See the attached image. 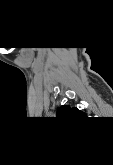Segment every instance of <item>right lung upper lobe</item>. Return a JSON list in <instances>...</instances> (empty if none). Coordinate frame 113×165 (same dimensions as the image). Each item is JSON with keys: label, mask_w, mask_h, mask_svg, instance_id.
Returning a JSON list of instances; mask_svg holds the SVG:
<instances>
[{"label": "right lung upper lobe", "mask_w": 113, "mask_h": 165, "mask_svg": "<svg viewBox=\"0 0 113 165\" xmlns=\"http://www.w3.org/2000/svg\"><path fill=\"white\" fill-rule=\"evenodd\" d=\"M82 116L84 113L80 110H78L76 107H72L70 105H64L61 106L57 110V116L63 117V118H74L76 116Z\"/></svg>", "instance_id": "right-lung-upper-lobe-1"}]
</instances>
